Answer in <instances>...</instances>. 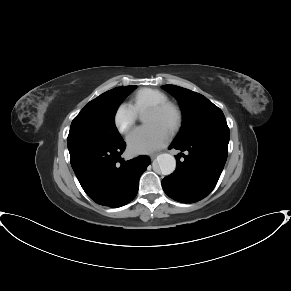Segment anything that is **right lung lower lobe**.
Here are the masks:
<instances>
[{"label":"right lung lower lobe","mask_w":291,"mask_h":291,"mask_svg":"<svg viewBox=\"0 0 291 291\" xmlns=\"http://www.w3.org/2000/svg\"><path fill=\"white\" fill-rule=\"evenodd\" d=\"M126 143L105 145L90 141L68 142L71 166L86 194L97 204L112 208L132 201L139 179L151 163L145 155L124 161Z\"/></svg>","instance_id":"obj_1"}]
</instances>
